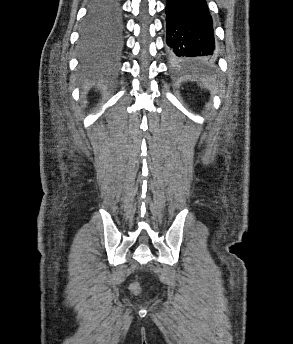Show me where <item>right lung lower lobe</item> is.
<instances>
[{
  "instance_id": "obj_1",
  "label": "right lung lower lobe",
  "mask_w": 293,
  "mask_h": 344,
  "mask_svg": "<svg viewBox=\"0 0 293 344\" xmlns=\"http://www.w3.org/2000/svg\"><path fill=\"white\" fill-rule=\"evenodd\" d=\"M121 30H122V20H121V26H120V30L115 34V43L119 44L120 40H121Z\"/></svg>"
}]
</instances>
